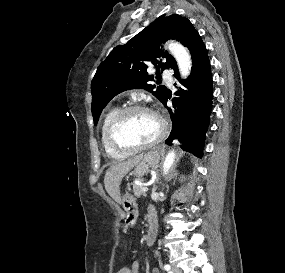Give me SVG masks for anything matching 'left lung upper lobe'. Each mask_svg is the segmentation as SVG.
Masks as SVG:
<instances>
[{
	"label": "left lung upper lobe",
	"instance_id": "obj_1",
	"mask_svg": "<svg viewBox=\"0 0 285 273\" xmlns=\"http://www.w3.org/2000/svg\"><path fill=\"white\" fill-rule=\"evenodd\" d=\"M191 22L178 14L162 15L144 28L125 45L115 47L101 63L92 80L91 111L94 124L108 102L117 94L133 88H145L152 92L155 85L148 84L153 76L147 75L149 65L154 64L159 75L160 68H174L176 61L167 51L160 49V43L176 39L187 46L192 32ZM162 60L165 62L162 63ZM161 102L166 97V87L158 86L152 92Z\"/></svg>",
	"mask_w": 285,
	"mask_h": 273
}]
</instances>
